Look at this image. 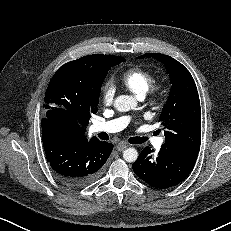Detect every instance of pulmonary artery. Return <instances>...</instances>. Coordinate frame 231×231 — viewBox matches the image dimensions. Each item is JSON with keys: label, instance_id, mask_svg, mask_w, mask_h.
Returning <instances> with one entry per match:
<instances>
[{"label": "pulmonary artery", "instance_id": "obj_1", "mask_svg": "<svg viewBox=\"0 0 231 231\" xmlns=\"http://www.w3.org/2000/svg\"><path fill=\"white\" fill-rule=\"evenodd\" d=\"M128 123L129 117L123 116L110 121L96 122L91 126V130L93 132L115 133L123 130L128 125ZM149 140H151L156 148H159L162 143L161 138H154Z\"/></svg>", "mask_w": 231, "mask_h": 231}]
</instances>
